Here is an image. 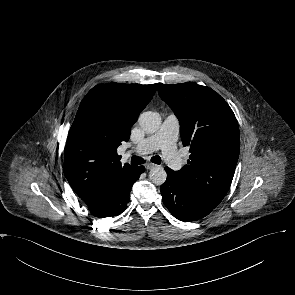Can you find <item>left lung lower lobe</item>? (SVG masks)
<instances>
[{
	"label": "left lung lower lobe",
	"mask_w": 295,
	"mask_h": 295,
	"mask_svg": "<svg viewBox=\"0 0 295 295\" xmlns=\"http://www.w3.org/2000/svg\"><path fill=\"white\" fill-rule=\"evenodd\" d=\"M167 179L161 185L162 200L173 216L185 222H192L207 216L213 209L201 203L181 183L176 172L165 167Z\"/></svg>",
	"instance_id": "obj_1"
}]
</instances>
